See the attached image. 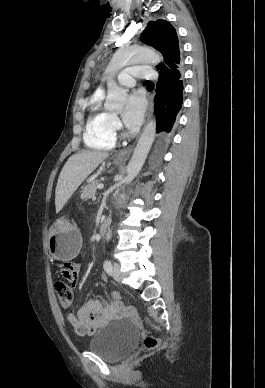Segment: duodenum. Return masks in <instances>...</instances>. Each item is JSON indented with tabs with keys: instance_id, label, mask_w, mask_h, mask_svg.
<instances>
[{
	"instance_id": "1",
	"label": "duodenum",
	"mask_w": 265,
	"mask_h": 388,
	"mask_svg": "<svg viewBox=\"0 0 265 388\" xmlns=\"http://www.w3.org/2000/svg\"><path fill=\"white\" fill-rule=\"evenodd\" d=\"M109 226H110V220L109 219H104L100 226H99V232L101 235H105L106 232L108 231L109 229Z\"/></svg>"
}]
</instances>
